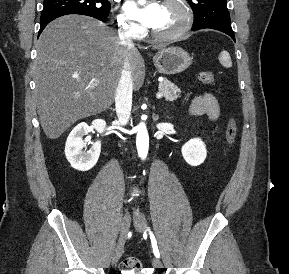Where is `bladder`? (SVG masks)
I'll return each instance as SVG.
<instances>
[{"label": "bladder", "mask_w": 289, "mask_h": 274, "mask_svg": "<svg viewBox=\"0 0 289 274\" xmlns=\"http://www.w3.org/2000/svg\"><path fill=\"white\" fill-rule=\"evenodd\" d=\"M121 274H143L140 271H122Z\"/></svg>", "instance_id": "obj_1"}]
</instances>
